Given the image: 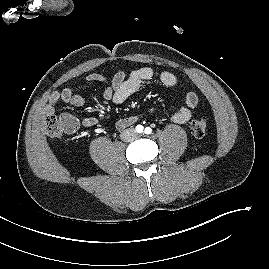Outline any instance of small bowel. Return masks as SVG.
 <instances>
[{
  "label": "small bowel",
  "mask_w": 269,
  "mask_h": 269,
  "mask_svg": "<svg viewBox=\"0 0 269 269\" xmlns=\"http://www.w3.org/2000/svg\"><path fill=\"white\" fill-rule=\"evenodd\" d=\"M85 79L87 82L105 84L106 87L103 92V98L107 101H112L115 104H122L125 102L130 96L136 93L145 82L158 80L161 84L167 87H174L178 83L177 77L173 73L169 71H156L150 67H141L133 70L129 74H126L124 71H118L110 80L100 73H90ZM59 101L75 107H81L84 104V98L81 95L75 93L72 87H66L62 91H55L50 95L45 107L46 112L53 113ZM197 104V94L194 92L187 93L184 103L179 106L172 115V121L177 124H184L189 121L192 116V110ZM150 112H153V109H150ZM73 119L77 129L78 121L74 117ZM138 119V115L122 118L117 121L116 129L121 131L135 124ZM97 123L98 120L95 117H87L82 121V125L85 128H91L97 125Z\"/></svg>",
  "instance_id": "1"
}]
</instances>
